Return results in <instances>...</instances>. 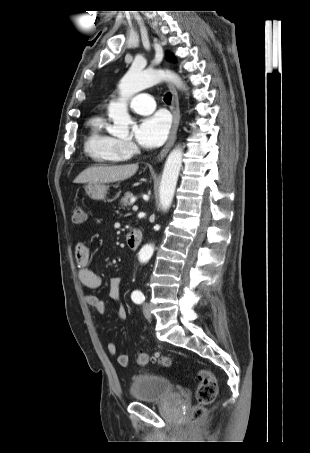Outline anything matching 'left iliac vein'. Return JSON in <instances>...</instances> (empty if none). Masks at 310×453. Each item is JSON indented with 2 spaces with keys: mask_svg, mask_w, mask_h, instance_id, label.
<instances>
[{
  "mask_svg": "<svg viewBox=\"0 0 310 453\" xmlns=\"http://www.w3.org/2000/svg\"><path fill=\"white\" fill-rule=\"evenodd\" d=\"M143 314L145 318L147 319L151 318L150 305L147 302L143 304Z\"/></svg>",
  "mask_w": 310,
  "mask_h": 453,
  "instance_id": "left-iliac-vein-1",
  "label": "left iliac vein"
}]
</instances>
